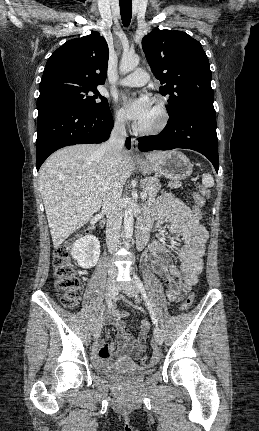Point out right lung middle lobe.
<instances>
[{
	"label": "right lung middle lobe",
	"instance_id": "1",
	"mask_svg": "<svg viewBox=\"0 0 259 431\" xmlns=\"http://www.w3.org/2000/svg\"><path fill=\"white\" fill-rule=\"evenodd\" d=\"M94 93V95L92 94ZM74 105L90 110H106L109 104L95 87H81L65 81H52L40 89L38 112L55 105Z\"/></svg>",
	"mask_w": 259,
	"mask_h": 431
}]
</instances>
